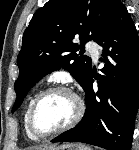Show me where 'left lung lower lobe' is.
<instances>
[{"mask_svg": "<svg viewBox=\"0 0 139 150\" xmlns=\"http://www.w3.org/2000/svg\"><path fill=\"white\" fill-rule=\"evenodd\" d=\"M103 47L94 92L93 75L84 86L86 111L74 128L52 142H83L107 150H130L139 108V38L126 9L117 0L107 26L96 41Z\"/></svg>", "mask_w": 139, "mask_h": 150, "instance_id": "0a47b994", "label": "left lung lower lobe"}]
</instances>
